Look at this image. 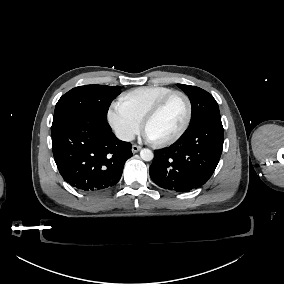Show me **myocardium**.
Returning a JSON list of instances; mask_svg holds the SVG:
<instances>
[{"instance_id":"obj_1","label":"myocardium","mask_w":284,"mask_h":284,"mask_svg":"<svg viewBox=\"0 0 284 284\" xmlns=\"http://www.w3.org/2000/svg\"><path fill=\"white\" fill-rule=\"evenodd\" d=\"M182 96L187 104V114L185 117V120L182 124V126L180 127V129L171 137L162 140V141H153L152 142L157 145V146H166V145H170L174 142H176L187 130V128L190 125L191 119H192V115H193V105L191 102L190 97L182 92V91H174L168 95H166L164 98H162L159 102H157L144 116V118L142 119V130H145V126L147 125V123L149 121H151L153 118H155L163 109L164 107L169 103V101L171 99H173L175 96Z\"/></svg>"}]
</instances>
